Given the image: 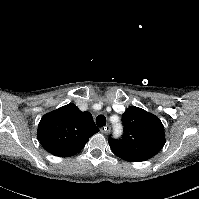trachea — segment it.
<instances>
[{
    "mask_svg": "<svg viewBox=\"0 0 199 199\" xmlns=\"http://www.w3.org/2000/svg\"><path fill=\"white\" fill-rule=\"evenodd\" d=\"M96 124L99 127H103L106 125V117L104 115H98L96 117Z\"/></svg>",
    "mask_w": 199,
    "mask_h": 199,
    "instance_id": "1",
    "label": "trachea"
}]
</instances>
